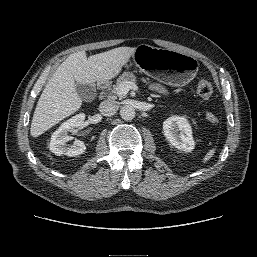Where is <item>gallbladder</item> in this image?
I'll return each mask as SVG.
<instances>
[{
    "label": "gallbladder",
    "mask_w": 257,
    "mask_h": 257,
    "mask_svg": "<svg viewBox=\"0 0 257 257\" xmlns=\"http://www.w3.org/2000/svg\"><path fill=\"white\" fill-rule=\"evenodd\" d=\"M76 91L79 97L86 102L91 101L96 96V89L93 85L90 84L84 85L77 83Z\"/></svg>",
    "instance_id": "bac80fb5"
}]
</instances>
